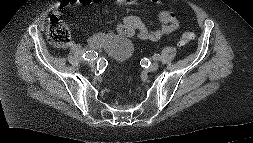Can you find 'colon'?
Masks as SVG:
<instances>
[{
  "mask_svg": "<svg viewBox=\"0 0 253 143\" xmlns=\"http://www.w3.org/2000/svg\"><path fill=\"white\" fill-rule=\"evenodd\" d=\"M46 33L49 41L57 48H65L71 41V34L67 25L55 15L49 18ZM192 39L191 33H183L179 38V44L185 46Z\"/></svg>",
  "mask_w": 253,
  "mask_h": 143,
  "instance_id": "1",
  "label": "colon"
}]
</instances>
